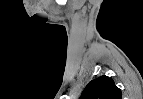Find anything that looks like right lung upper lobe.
<instances>
[{"mask_svg":"<svg viewBox=\"0 0 143 99\" xmlns=\"http://www.w3.org/2000/svg\"><path fill=\"white\" fill-rule=\"evenodd\" d=\"M121 90L116 87L112 78L100 76L88 83L80 99H121Z\"/></svg>","mask_w":143,"mask_h":99,"instance_id":"cb5924a9","label":"right lung upper lobe"}]
</instances>
